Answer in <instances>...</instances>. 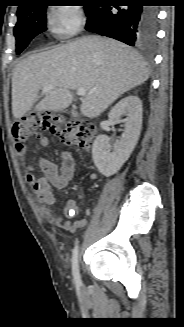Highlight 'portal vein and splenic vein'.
Instances as JSON below:
<instances>
[{"mask_svg":"<svg viewBox=\"0 0 184 327\" xmlns=\"http://www.w3.org/2000/svg\"><path fill=\"white\" fill-rule=\"evenodd\" d=\"M55 88L54 85H47L43 88V92H49ZM78 96H85L86 95V89L85 88H77L76 90Z\"/></svg>","mask_w":184,"mask_h":327,"instance_id":"1","label":"portal vein and splenic vein"}]
</instances>
